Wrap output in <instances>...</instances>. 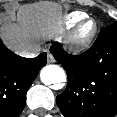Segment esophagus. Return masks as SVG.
<instances>
[{"label":"esophagus","mask_w":117,"mask_h":117,"mask_svg":"<svg viewBox=\"0 0 117 117\" xmlns=\"http://www.w3.org/2000/svg\"><path fill=\"white\" fill-rule=\"evenodd\" d=\"M47 62L48 63H54L55 62V58L50 53L47 54Z\"/></svg>","instance_id":"obj_1"}]
</instances>
